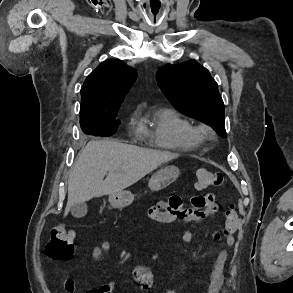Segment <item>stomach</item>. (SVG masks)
<instances>
[{"label":"stomach","instance_id":"0dacf381","mask_svg":"<svg viewBox=\"0 0 293 293\" xmlns=\"http://www.w3.org/2000/svg\"><path fill=\"white\" fill-rule=\"evenodd\" d=\"M179 169L175 166H166L156 172L149 180V188L152 191H159L176 180ZM134 200V195L130 191H121L109 195V202L113 208H124L129 206Z\"/></svg>","mask_w":293,"mask_h":293}]
</instances>
